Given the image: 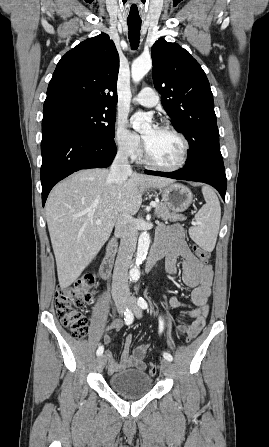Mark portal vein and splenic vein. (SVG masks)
<instances>
[{
    "instance_id": "1",
    "label": "portal vein and splenic vein",
    "mask_w": 269,
    "mask_h": 447,
    "mask_svg": "<svg viewBox=\"0 0 269 447\" xmlns=\"http://www.w3.org/2000/svg\"><path fill=\"white\" fill-rule=\"evenodd\" d=\"M153 206H154V208H155V206H157L156 202H151L150 207H153ZM96 224H102V220H96Z\"/></svg>"
}]
</instances>
